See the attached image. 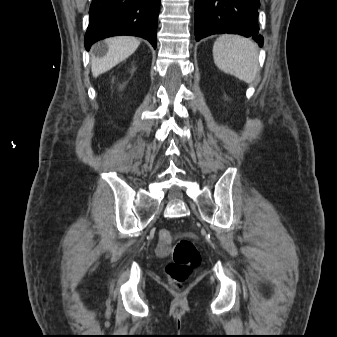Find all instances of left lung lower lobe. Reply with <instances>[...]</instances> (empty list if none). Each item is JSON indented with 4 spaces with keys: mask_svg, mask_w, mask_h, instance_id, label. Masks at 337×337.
<instances>
[{
    "mask_svg": "<svg viewBox=\"0 0 337 337\" xmlns=\"http://www.w3.org/2000/svg\"><path fill=\"white\" fill-rule=\"evenodd\" d=\"M259 0H195L196 40L212 34H240L252 37L260 47Z\"/></svg>",
    "mask_w": 337,
    "mask_h": 337,
    "instance_id": "0a47b994",
    "label": "left lung lower lobe"
}]
</instances>
